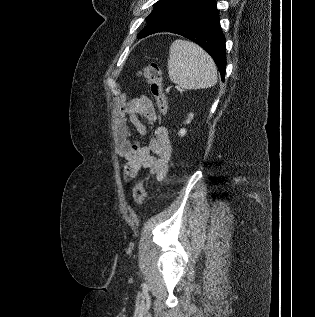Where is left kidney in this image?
Returning <instances> with one entry per match:
<instances>
[{
  "label": "left kidney",
  "instance_id": "obj_1",
  "mask_svg": "<svg viewBox=\"0 0 315 317\" xmlns=\"http://www.w3.org/2000/svg\"><path fill=\"white\" fill-rule=\"evenodd\" d=\"M193 114L192 113H190L189 115H188V119L186 120V123L188 124V123H190L191 122V120L193 119ZM186 130L183 128V129H181L180 131H179V135L181 136V137H183L185 134H186Z\"/></svg>",
  "mask_w": 315,
  "mask_h": 317
}]
</instances>
